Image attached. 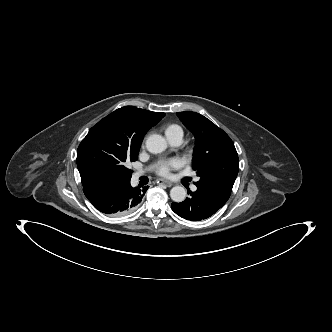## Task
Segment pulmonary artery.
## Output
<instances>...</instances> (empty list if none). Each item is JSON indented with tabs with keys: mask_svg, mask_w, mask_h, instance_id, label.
<instances>
[{
	"mask_svg": "<svg viewBox=\"0 0 332 332\" xmlns=\"http://www.w3.org/2000/svg\"><path fill=\"white\" fill-rule=\"evenodd\" d=\"M168 141L172 146H179L182 142V138L181 137H174V138H172ZM140 175H141V173H135L134 177L137 178ZM196 189H197L196 186L193 185L192 190L195 191Z\"/></svg>",
	"mask_w": 332,
	"mask_h": 332,
	"instance_id": "pulmonary-artery-1",
	"label": "pulmonary artery"
}]
</instances>
